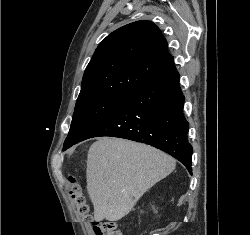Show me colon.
<instances>
[{"mask_svg":"<svg viewBox=\"0 0 250 235\" xmlns=\"http://www.w3.org/2000/svg\"><path fill=\"white\" fill-rule=\"evenodd\" d=\"M72 187L70 195L76 205L79 215L86 221H91L89 207L81 192L80 187L76 184L73 177H69ZM93 231L95 235H122L119 224L116 221H93Z\"/></svg>","mask_w":250,"mask_h":235,"instance_id":"5ec220e1","label":"colon"}]
</instances>
